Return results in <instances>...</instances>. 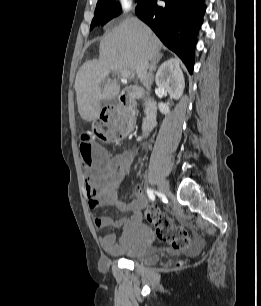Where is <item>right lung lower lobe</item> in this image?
Listing matches in <instances>:
<instances>
[{
	"instance_id": "98d812e1",
	"label": "right lung lower lobe",
	"mask_w": 261,
	"mask_h": 306,
	"mask_svg": "<svg viewBox=\"0 0 261 306\" xmlns=\"http://www.w3.org/2000/svg\"><path fill=\"white\" fill-rule=\"evenodd\" d=\"M143 0L135 12L156 33L160 40L174 51L185 63L190 73L193 71L195 36L206 10L203 0Z\"/></svg>"
}]
</instances>
